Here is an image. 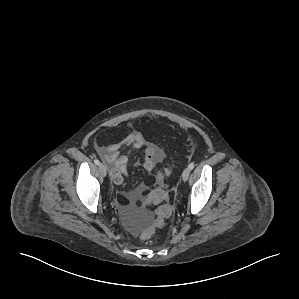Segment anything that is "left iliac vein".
<instances>
[{"label":"left iliac vein","mask_w":299,"mask_h":299,"mask_svg":"<svg viewBox=\"0 0 299 299\" xmlns=\"http://www.w3.org/2000/svg\"><path fill=\"white\" fill-rule=\"evenodd\" d=\"M191 170L189 168H185L183 173H182V179L183 181H187L189 178Z\"/></svg>","instance_id":"left-iliac-vein-1"}]
</instances>
